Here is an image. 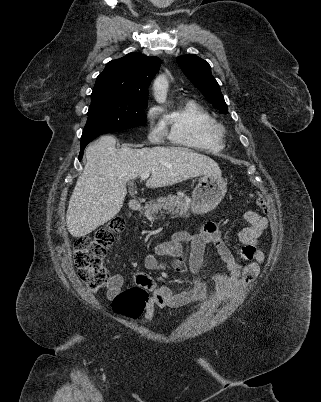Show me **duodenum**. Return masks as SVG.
<instances>
[{"label":"duodenum","instance_id":"duodenum-1","mask_svg":"<svg viewBox=\"0 0 321 402\" xmlns=\"http://www.w3.org/2000/svg\"><path fill=\"white\" fill-rule=\"evenodd\" d=\"M142 205L138 199H132L129 204V209L131 212H137L141 210Z\"/></svg>","mask_w":321,"mask_h":402}]
</instances>
